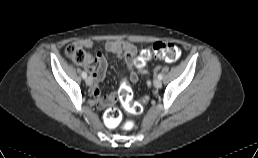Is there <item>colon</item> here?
I'll return each instance as SVG.
<instances>
[{
    "label": "colon",
    "instance_id": "5ec220e1",
    "mask_svg": "<svg viewBox=\"0 0 258 158\" xmlns=\"http://www.w3.org/2000/svg\"><path fill=\"white\" fill-rule=\"evenodd\" d=\"M65 54L77 64L91 63L93 61L92 55L76 44L68 45L65 49ZM152 55L161 60L173 62L179 58L180 50L175 43L169 41H158L151 46H144L140 56L135 59V64L141 71H145V66ZM119 97L126 110L133 114L142 113L147 102L146 97L141 102H132V91L126 84L120 88ZM106 119L112 126H116L120 123L121 116L117 109L111 108L106 113Z\"/></svg>",
    "mask_w": 258,
    "mask_h": 158
}]
</instances>
